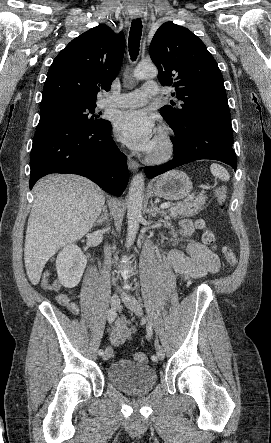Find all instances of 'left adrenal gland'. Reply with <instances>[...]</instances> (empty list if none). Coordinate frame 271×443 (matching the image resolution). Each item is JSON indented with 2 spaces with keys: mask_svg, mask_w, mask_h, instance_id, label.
Wrapping results in <instances>:
<instances>
[{
  "mask_svg": "<svg viewBox=\"0 0 271 443\" xmlns=\"http://www.w3.org/2000/svg\"><path fill=\"white\" fill-rule=\"evenodd\" d=\"M150 204H151V208H150L149 214H151V216H153V218H155V216H157V214H163V212H160V210H158V208H156L155 204H153V200H150Z\"/></svg>",
  "mask_w": 271,
  "mask_h": 443,
  "instance_id": "left-adrenal-gland-1",
  "label": "left adrenal gland"
}]
</instances>
